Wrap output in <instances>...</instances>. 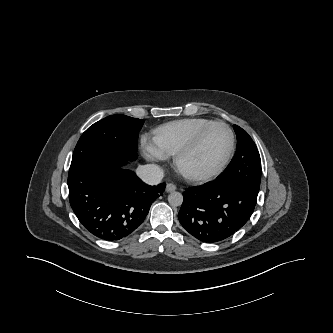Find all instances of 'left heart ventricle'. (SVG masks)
<instances>
[{
    "mask_svg": "<svg viewBox=\"0 0 333 333\" xmlns=\"http://www.w3.org/2000/svg\"><path fill=\"white\" fill-rule=\"evenodd\" d=\"M230 146V137L222 126L213 127L198 148L183 162L186 170L205 174L215 170L224 160Z\"/></svg>",
    "mask_w": 333,
    "mask_h": 333,
    "instance_id": "left-heart-ventricle-1",
    "label": "left heart ventricle"
}]
</instances>
